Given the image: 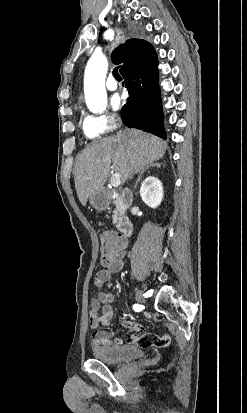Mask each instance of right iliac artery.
<instances>
[{"instance_id":"82829eb1","label":"right iliac artery","mask_w":247,"mask_h":413,"mask_svg":"<svg viewBox=\"0 0 247 413\" xmlns=\"http://www.w3.org/2000/svg\"><path fill=\"white\" fill-rule=\"evenodd\" d=\"M133 309H134L136 312H139V311L142 310V309H141V305H139V304H134V305H133Z\"/></svg>"}]
</instances>
